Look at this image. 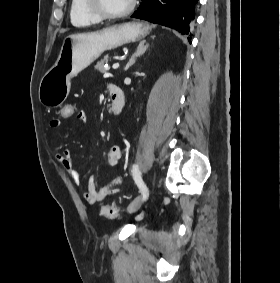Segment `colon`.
Listing matches in <instances>:
<instances>
[{
    "instance_id": "5ec220e1",
    "label": "colon",
    "mask_w": 280,
    "mask_h": 283,
    "mask_svg": "<svg viewBox=\"0 0 280 283\" xmlns=\"http://www.w3.org/2000/svg\"><path fill=\"white\" fill-rule=\"evenodd\" d=\"M78 112V107L75 103H62L59 111L60 119H73V116ZM119 209L116 206H104L102 215L107 219H115L118 216Z\"/></svg>"
}]
</instances>
